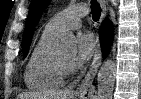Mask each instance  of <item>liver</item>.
Here are the masks:
<instances>
[{
    "instance_id": "obj_1",
    "label": "liver",
    "mask_w": 141,
    "mask_h": 99,
    "mask_svg": "<svg viewBox=\"0 0 141 99\" xmlns=\"http://www.w3.org/2000/svg\"><path fill=\"white\" fill-rule=\"evenodd\" d=\"M17 99H74V91L62 90L46 94L21 93L17 96Z\"/></svg>"
}]
</instances>
